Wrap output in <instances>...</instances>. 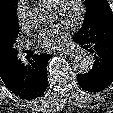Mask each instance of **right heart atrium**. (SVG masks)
Listing matches in <instances>:
<instances>
[{
    "label": "right heart atrium",
    "instance_id": "d8ad5b80",
    "mask_svg": "<svg viewBox=\"0 0 113 113\" xmlns=\"http://www.w3.org/2000/svg\"><path fill=\"white\" fill-rule=\"evenodd\" d=\"M16 19L21 28L28 24V6L26 0H19L16 6Z\"/></svg>",
    "mask_w": 113,
    "mask_h": 113
}]
</instances>
